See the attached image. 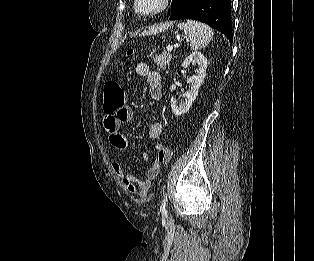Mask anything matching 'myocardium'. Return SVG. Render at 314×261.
I'll list each match as a JSON object with an SVG mask.
<instances>
[{"instance_id": "f54148a6", "label": "myocardium", "mask_w": 314, "mask_h": 261, "mask_svg": "<svg viewBox=\"0 0 314 261\" xmlns=\"http://www.w3.org/2000/svg\"><path fill=\"white\" fill-rule=\"evenodd\" d=\"M171 2L172 0H160L159 5L156 8L150 11H142L139 9V0H133V9L140 16L150 17V16L158 15L164 12L165 10H167Z\"/></svg>"}]
</instances>
